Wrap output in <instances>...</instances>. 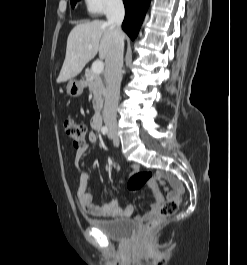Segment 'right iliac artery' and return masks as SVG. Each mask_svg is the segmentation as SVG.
<instances>
[{"mask_svg": "<svg viewBox=\"0 0 247 265\" xmlns=\"http://www.w3.org/2000/svg\"><path fill=\"white\" fill-rule=\"evenodd\" d=\"M101 132H102L103 134H107V133H108V128H107L106 126H103V127L101 128Z\"/></svg>", "mask_w": 247, "mask_h": 265, "instance_id": "82829eb1", "label": "right iliac artery"}]
</instances>
